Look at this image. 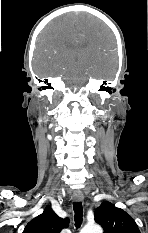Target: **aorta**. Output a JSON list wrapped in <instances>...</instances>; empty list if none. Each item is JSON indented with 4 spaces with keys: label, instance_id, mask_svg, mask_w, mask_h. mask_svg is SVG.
<instances>
[{
    "label": "aorta",
    "instance_id": "aorta-1",
    "mask_svg": "<svg viewBox=\"0 0 148 233\" xmlns=\"http://www.w3.org/2000/svg\"><path fill=\"white\" fill-rule=\"evenodd\" d=\"M80 233H103V230L98 224L86 225Z\"/></svg>",
    "mask_w": 148,
    "mask_h": 233
}]
</instances>
